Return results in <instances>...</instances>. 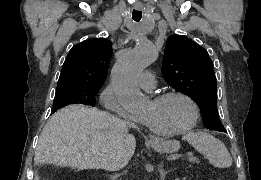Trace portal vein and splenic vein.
Segmentation results:
<instances>
[{"label":"portal vein and splenic vein","instance_id":"18ae733b","mask_svg":"<svg viewBox=\"0 0 261 180\" xmlns=\"http://www.w3.org/2000/svg\"><path fill=\"white\" fill-rule=\"evenodd\" d=\"M194 160H197V157H195V154L193 153H188L187 156H185V161H194Z\"/></svg>","mask_w":261,"mask_h":180}]
</instances>
